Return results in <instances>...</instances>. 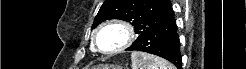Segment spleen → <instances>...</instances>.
I'll list each match as a JSON object with an SVG mask.
<instances>
[{
  "label": "spleen",
  "instance_id": "spleen-1",
  "mask_svg": "<svg viewBox=\"0 0 246 69\" xmlns=\"http://www.w3.org/2000/svg\"><path fill=\"white\" fill-rule=\"evenodd\" d=\"M131 61L132 69H176L163 58L138 51L132 52Z\"/></svg>",
  "mask_w": 246,
  "mask_h": 69
}]
</instances>
